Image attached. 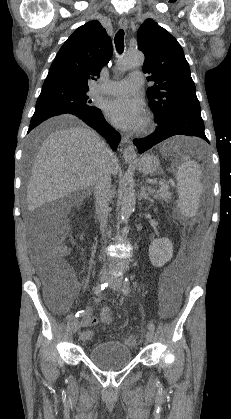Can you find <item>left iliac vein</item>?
<instances>
[{"label": "left iliac vein", "instance_id": "left-iliac-vein-1", "mask_svg": "<svg viewBox=\"0 0 231 419\" xmlns=\"http://www.w3.org/2000/svg\"><path fill=\"white\" fill-rule=\"evenodd\" d=\"M121 285H122V280H121L120 276L115 275V276H113V277L111 278V286H112V289H113L114 291H118V290H120V289H121ZM145 337H146V340H147L148 342H151V341H152V339H153V332H152L151 330H148V331L146 332Z\"/></svg>", "mask_w": 231, "mask_h": 419}]
</instances>
